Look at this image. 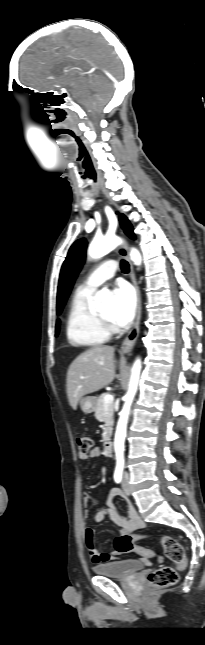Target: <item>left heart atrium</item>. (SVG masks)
I'll return each instance as SVG.
<instances>
[{
    "label": "left heart atrium",
    "mask_w": 205,
    "mask_h": 645,
    "mask_svg": "<svg viewBox=\"0 0 205 645\" xmlns=\"http://www.w3.org/2000/svg\"><path fill=\"white\" fill-rule=\"evenodd\" d=\"M113 320L119 326L128 325L134 318L137 309V298L133 289L124 283L116 286L112 291Z\"/></svg>",
    "instance_id": "left-heart-atrium-1"
}]
</instances>
